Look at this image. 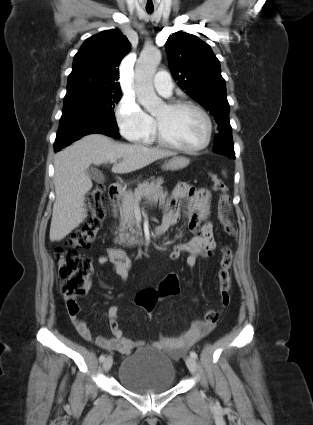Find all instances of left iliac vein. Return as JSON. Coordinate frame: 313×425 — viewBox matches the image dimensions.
<instances>
[{
  "mask_svg": "<svg viewBox=\"0 0 313 425\" xmlns=\"http://www.w3.org/2000/svg\"><path fill=\"white\" fill-rule=\"evenodd\" d=\"M185 362L190 372L195 374L197 372V362L195 358L188 356L186 357Z\"/></svg>",
  "mask_w": 313,
  "mask_h": 425,
  "instance_id": "4c4485c4",
  "label": "left iliac vein"
}]
</instances>
